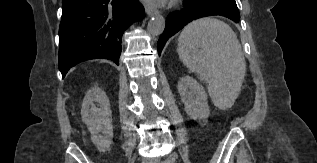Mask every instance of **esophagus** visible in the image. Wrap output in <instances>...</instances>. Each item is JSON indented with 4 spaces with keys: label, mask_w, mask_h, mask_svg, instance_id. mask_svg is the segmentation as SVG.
<instances>
[{
    "label": "esophagus",
    "mask_w": 317,
    "mask_h": 163,
    "mask_svg": "<svg viewBox=\"0 0 317 163\" xmlns=\"http://www.w3.org/2000/svg\"><path fill=\"white\" fill-rule=\"evenodd\" d=\"M145 11H146V14L148 16H153V15H157L158 14V11L155 10L154 8H151V7H145Z\"/></svg>",
    "instance_id": "obj_1"
}]
</instances>
